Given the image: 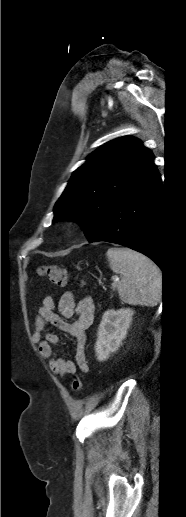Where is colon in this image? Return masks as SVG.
<instances>
[{
	"instance_id": "5ec220e1",
	"label": "colon",
	"mask_w": 186,
	"mask_h": 517,
	"mask_svg": "<svg viewBox=\"0 0 186 517\" xmlns=\"http://www.w3.org/2000/svg\"><path fill=\"white\" fill-rule=\"evenodd\" d=\"M38 274L42 277H45L52 284L63 286L69 280V272L64 267H59L55 265H45L39 268ZM71 388L74 392H79L82 388V380L81 378L74 374L71 381Z\"/></svg>"
}]
</instances>
